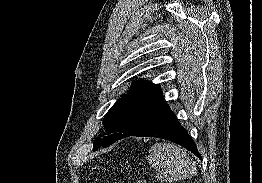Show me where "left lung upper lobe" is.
Returning a JSON list of instances; mask_svg holds the SVG:
<instances>
[{"instance_id":"1","label":"left lung upper lobe","mask_w":262,"mask_h":183,"mask_svg":"<svg viewBox=\"0 0 262 183\" xmlns=\"http://www.w3.org/2000/svg\"><path fill=\"white\" fill-rule=\"evenodd\" d=\"M132 89L111 107L103 120L105 136L94 141V150L107 147L142 128L153 113L164 103L160 85L135 81Z\"/></svg>"}]
</instances>
